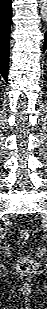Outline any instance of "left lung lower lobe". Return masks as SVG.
Here are the masks:
<instances>
[{"label":"left lung lower lobe","instance_id":"left-lung-lower-lobe-1","mask_svg":"<svg viewBox=\"0 0 47 309\" xmlns=\"http://www.w3.org/2000/svg\"><path fill=\"white\" fill-rule=\"evenodd\" d=\"M47 49V32L45 33V41H44V47L43 52Z\"/></svg>","mask_w":47,"mask_h":309}]
</instances>
